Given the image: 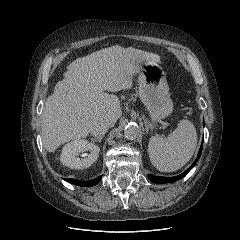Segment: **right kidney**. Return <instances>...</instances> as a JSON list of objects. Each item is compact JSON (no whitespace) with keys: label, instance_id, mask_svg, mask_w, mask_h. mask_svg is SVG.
Masks as SVG:
<instances>
[{"label":"right kidney","instance_id":"right-kidney-1","mask_svg":"<svg viewBox=\"0 0 240 240\" xmlns=\"http://www.w3.org/2000/svg\"><path fill=\"white\" fill-rule=\"evenodd\" d=\"M89 151L87 157L80 159L78 154ZM100 148L84 139H76L67 143L60 156L63 165L71 169H84L90 167L99 157Z\"/></svg>","mask_w":240,"mask_h":240}]
</instances>
